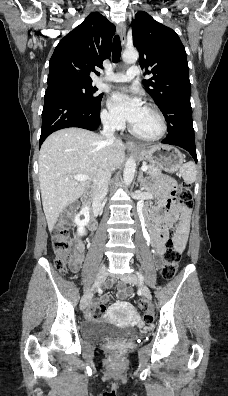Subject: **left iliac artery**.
<instances>
[{
  "label": "left iliac artery",
  "instance_id": "1",
  "mask_svg": "<svg viewBox=\"0 0 228 396\" xmlns=\"http://www.w3.org/2000/svg\"><path fill=\"white\" fill-rule=\"evenodd\" d=\"M136 274H137L138 278L140 279V281H143L144 278H143L142 274L140 272H137Z\"/></svg>",
  "mask_w": 228,
  "mask_h": 396
}]
</instances>
